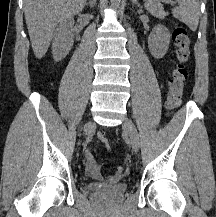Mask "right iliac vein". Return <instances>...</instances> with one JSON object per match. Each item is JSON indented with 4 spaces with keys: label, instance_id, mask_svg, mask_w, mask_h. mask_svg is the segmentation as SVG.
<instances>
[{
    "label": "right iliac vein",
    "instance_id": "63e3f726",
    "mask_svg": "<svg viewBox=\"0 0 216 217\" xmlns=\"http://www.w3.org/2000/svg\"><path fill=\"white\" fill-rule=\"evenodd\" d=\"M95 129V124L92 121H89L84 127L85 135L90 134Z\"/></svg>",
    "mask_w": 216,
    "mask_h": 217
}]
</instances>
